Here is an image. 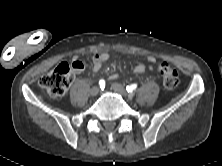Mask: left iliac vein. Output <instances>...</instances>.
Listing matches in <instances>:
<instances>
[{
    "label": "left iliac vein",
    "instance_id": "obj_1",
    "mask_svg": "<svg viewBox=\"0 0 222 166\" xmlns=\"http://www.w3.org/2000/svg\"><path fill=\"white\" fill-rule=\"evenodd\" d=\"M112 88L115 92H117L125 97H132V94L127 93L126 89L119 83H113Z\"/></svg>",
    "mask_w": 222,
    "mask_h": 166
}]
</instances>
